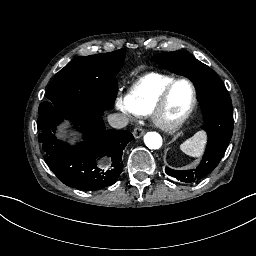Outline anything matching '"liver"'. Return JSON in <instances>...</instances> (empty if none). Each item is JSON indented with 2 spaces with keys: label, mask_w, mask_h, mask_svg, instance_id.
Instances as JSON below:
<instances>
[{
  "label": "liver",
  "mask_w": 256,
  "mask_h": 256,
  "mask_svg": "<svg viewBox=\"0 0 256 256\" xmlns=\"http://www.w3.org/2000/svg\"><path fill=\"white\" fill-rule=\"evenodd\" d=\"M68 126V122H65V124H62L60 127H59V132L62 133L63 129ZM75 133H72V135H74ZM60 136L64 137L63 134H60Z\"/></svg>",
  "instance_id": "6515ba94"
}]
</instances>
